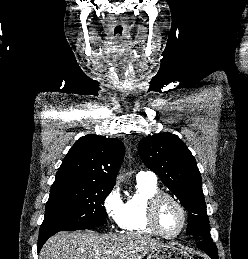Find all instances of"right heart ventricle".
Returning <instances> with one entry per match:
<instances>
[{
    "mask_svg": "<svg viewBox=\"0 0 248 259\" xmlns=\"http://www.w3.org/2000/svg\"><path fill=\"white\" fill-rule=\"evenodd\" d=\"M160 192L157 182L137 179L136 190L124 202L121 227L129 233L156 234L151 228L148 216V202Z\"/></svg>",
    "mask_w": 248,
    "mask_h": 259,
    "instance_id": "obj_1",
    "label": "right heart ventricle"
}]
</instances>
